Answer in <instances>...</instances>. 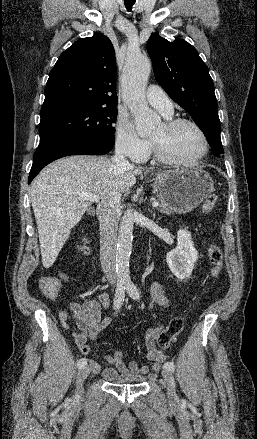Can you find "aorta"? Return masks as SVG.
I'll use <instances>...</instances> for the list:
<instances>
[{
  "instance_id": "obj_1",
  "label": "aorta",
  "mask_w": 257,
  "mask_h": 439,
  "mask_svg": "<svg viewBox=\"0 0 257 439\" xmlns=\"http://www.w3.org/2000/svg\"><path fill=\"white\" fill-rule=\"evenodd\" d=\"M151 72L150 60L140 53H128L123 68L121 87L125 103L131 110L138 135H149L160 117L147 106L145 88ZM134 218L131 207L122 217L117 249L116 274L121 284H131L129 260L132 251Z\"/></svg>"
}]
</instances>
